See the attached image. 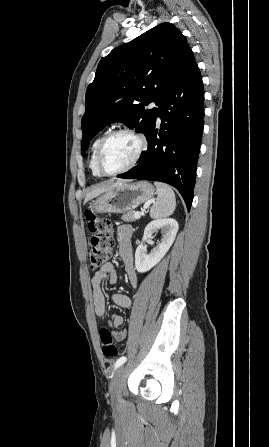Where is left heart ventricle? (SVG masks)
<instances>
[{"instance_id":"b2bd125f","label":"left heart ventricle","mask_w":269,"mask_h":447,"mask_svg":"<svg viewBox=\"0 0 269 447\" xmlns=\"http://www.w3.org/2000/svg\"><path fill=\"white\" fill-rule=\"evenodd\" d=\"M139 139L130 133L113 135L105 145L102 162L107 170L127 166L134 159L139 148Z\"/></svg>"}]
</instances>
